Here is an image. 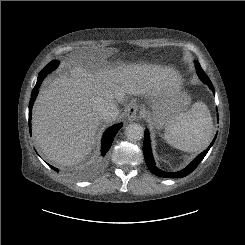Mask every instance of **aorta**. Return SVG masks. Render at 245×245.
I'll use <instances>...</instances> for the list:
<instances>
[{"instance_id":"762f6f07","label":"aorta","mask_w":245,"mask_h":245,"mask_svg":"<svg viewBox=\"0 0 245 245\" xmlns=\"http://www.w3.org/2000/svg\"><path fill=\"white\" fill-rule=\"evenodd\" d=\"M125 134L130 141H139L144 135V129L140 124L132 123L126 127Z\"/></svg>"}]
</instances>
